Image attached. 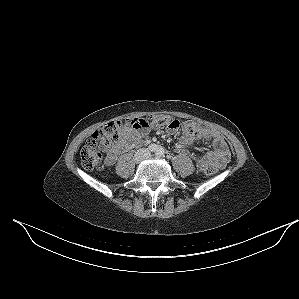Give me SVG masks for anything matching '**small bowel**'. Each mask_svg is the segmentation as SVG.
<instances>
[{
  "instance_id": "obj_1",
  "label": "small bowel",
  "mask_w": 299,
  "mask_h": 299,
  "mask_svg": "<svg viewBox=\"0 0 299 299\" xmlns=\"http://www.w3.org/2000/svg\"><path fill=\"white\" fill-rule=\"evenodd\" d=\"M147 134L145 132H136L132 130L125 131L122 138L109 150L106 157V165L111 166L115 163L117 155L127 152L133 145ZM195 139H212L213 150L204 155L193 156L199 170L207 165H215L217 168H223L230 160V150L225 139L216 131L201 129L195 137L182 136L178 142L179 149H186Z\"/></svg>"
}]
</instances>
